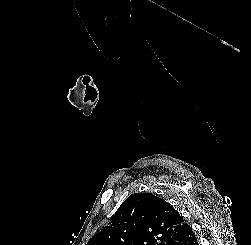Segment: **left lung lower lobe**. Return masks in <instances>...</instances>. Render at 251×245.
<instances>
[{"instance_id": "left-lung-lower-lobe-1", "label": "left lung lower lobe", "mask_w": 251, "mask_h": 245, "mask_svg": "<svg viewBox=\"0 0 251 245\" xmlns=\"http://www.w3.org/2000/svg\"><path fill=\"white\" fill-rule=\"evenodd\" d=\"M170 245H199L198 240L192 228L187 224L178 235L173 239Z\"/></svg>"}]
</instances>
